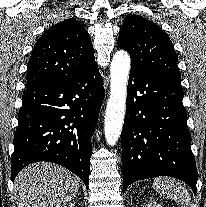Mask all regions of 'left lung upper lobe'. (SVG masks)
I'll use <instances>...</instances> for the list:
<instances>
[{
	"label": "left lung upper lobe",
	"mask_w": 206,
	"mask_h": 207,
	"mask_svg": "<svg viewBox=\"0 0 206 207\" xmlns=\"http://www.w3.org/2000/svg\"><path fill=\"white\" fill-rule=\"evenodd\" d=\"M118 46L130 53L132 68L181 81L172 42L152 21L129 15L119 32Z\"/></svg>",
	"instance_id": "left-lung-upper-lobe-1"
}]
</instances>
